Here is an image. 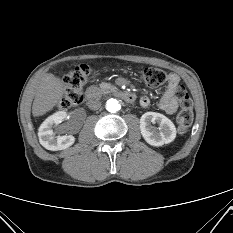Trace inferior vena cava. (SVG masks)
Here are the masks:
<instances>
[{
    "label": "inferior vena cava",
    "mask_w": 233,
    "mask_h": 233,
    "mask_svg": "<svg viewBox=\"0 0 233 233\" xmlns=\"http://www.w3.org/2000/svg\"><path fill=\"white\" fill-rule=\"evenodd\" d=\"M87 106L91 110H98L101 107V102L98 99H90L87 102Z\"/></svg>",
    "instance_id": "1"
}]
</instances>
